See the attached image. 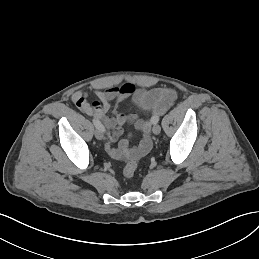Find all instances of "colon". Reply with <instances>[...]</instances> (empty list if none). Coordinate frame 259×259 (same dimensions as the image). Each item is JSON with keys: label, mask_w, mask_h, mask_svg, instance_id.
Returning a JSON list of instances; mask_svg holds the SVG:
<instances>
[{"label": "colon", "mask_w": 259, "mask_h": 259, "mask_svg": "<svg viewBox=\"0 0 259 259\" xmlns=\"http://www.w3.org/2000/svg\"><path fill=\"white\" fill-rule=\"evenodd\" d=\"M138 163L136 160L128 161L122 171V174L125 178H132L137 170Z\"/></svg>", "instance_id": "1"}]
</instances>
